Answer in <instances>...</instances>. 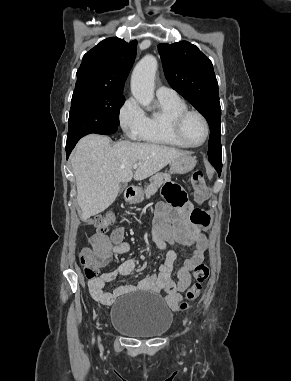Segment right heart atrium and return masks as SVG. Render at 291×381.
<instances>
[{
    "mask_svg": "<svg viewBox=\"0 0 291 381\" xmlns=\"http://www.w3.org/2000/svg\"><path fill=\"white\" fill-rule=\"evenodd\" d=\"M118 117L120 126L128 137L137 138L140 136L145 115L134 98L130 97L122 104Z\"/></svg>",
    "mask_w": 291,
    "mask_h": 381,
    "instance_id": "1",
    "label": "right heart atrium"
}]
</instances>
